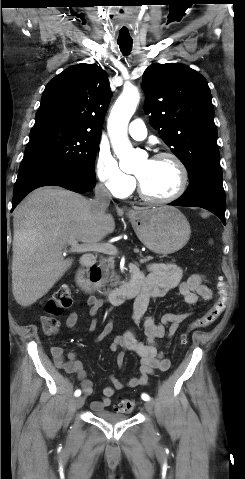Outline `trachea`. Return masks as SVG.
<instances>
[{"label":"trachea","instance_id":"3493384b","mask_svg":"<svg viewBox=\"0 0 245 479\" xmlns=\"http://www.w3.org/2000/svg\"><path fill=\"white\" fill-rule=\"evenodd\" d=\"M117 43L119 45V48H120L121 52L124 55H128L130 53V51L132 49L133 41H131V40H128V41L118 40Z\"/></svg>","mask_w":245,"mask_h":479}]
</instances>
